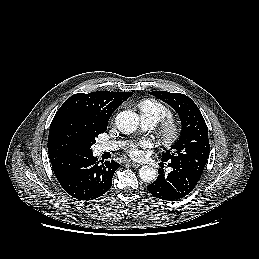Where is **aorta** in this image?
Listing matches in <instances>:
<instances>
[{
    "label": "aorta",
    "instance_id": "aorta-1",
    "mask_svg": "<svg viewBox=\"0 0 259 259\" xmlns=\"http://www.w3.org/2000/svg\"><path fill=\"white\" fill-rule=\"evenodd\" d=\"M140 118L133 111L125 110L120 112L115 119L117 128L124 134H131L139 126ZM139 177L142 181L150 183L156 180L157 171L151 166H142L139 170Z\"/></svg>",
    "mask_w": 259,
    "mask_h": 259
}]
</instances>
